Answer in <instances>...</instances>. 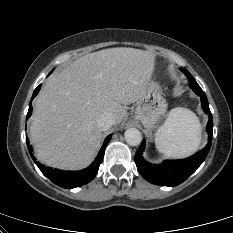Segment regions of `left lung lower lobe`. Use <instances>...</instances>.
I'll use <instances>...</instances> for the list:
<instances>
[{
    "label": "left lung lower lobe",
    "mask_w": 233,
    "mask_h": 233,
    "mask_svg": "<svg viewBox=\"0 0 233 233\" xmlns=\"http://www.w3.org/2000/svg\"><path fill=\"white\" fill-rule=\"evenodd\" d=\"M191 88L193 91L201 96V105L206 114L209 115V121L207 123V131L209 134V142L207 146L201 151L183 160L166 161L161 165H152L146 162L141 154L144 150V141L139 147L135 155V163L137 170L150 183L161 186L174 187L184 182L198 167L202 164L206 158L212 143L213 134V121L212 114L209 109V104L204 91L200 88L196 81H192Z\"/></svg>",
    "instance_id": "1"
}]
</instances>
